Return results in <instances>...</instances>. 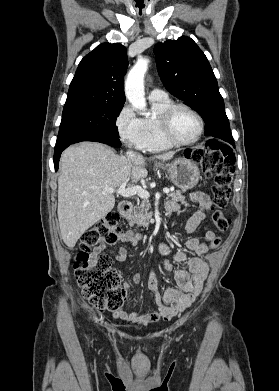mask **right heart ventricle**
Segmentation results:
<instances>
[{
  "label": "right heart ventricle",
  "mask_w": 279,
  "mask_h": 391,
  "mask_svg": "<svg viewBox=\"0 0 279 391\" xmlns=\"http://www.w3.org/2000/svg\"><path fill=\"white\" fill-rule=\"evenodd\" d=\"M153 115L141 119L142 138L141 149L149 152H160L173 148L163 136L160 115L172 104L167 97L165 99L150 100Z\"/></svg>",
  "instance_id": "obj_1"
}]
</instances>
